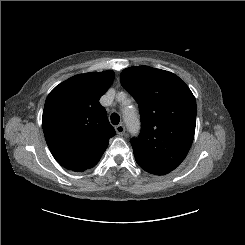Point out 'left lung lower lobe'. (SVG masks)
I'll use <instances>...</instances> for the list:
<instances>
[{
	"instance_id": "0a47b994",
	"label": "left lung lower lobe",
	"mask_w": 245,
	"mask_h": 245,
	"mask_svg": "<svg viewBox=\"0 0 245 245\" xmlns=\"http://www.w3.org/2000/svg\"><path fill=\"white\" fill-rule=\"evenodd\" d=\"M172 170L170 169H165V168H162V169H157V170H150V171H147L151 174H155V175H164V174H167L169 172H171Z\"/></svg>"
}]
</instances>
